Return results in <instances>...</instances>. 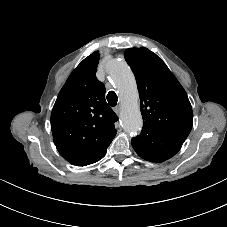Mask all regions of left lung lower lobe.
<instances>
[{
	"label": "left lung lower lobe",
	"instance_id": "obj_1",
	"mask_svg": "<svg viewBox=\"0 0 227 227\" xmlns=\"http://www.w3.org/2000/svg\"><path fill=\"white\" fill-rule=\"evenodd\" d=\"M131 142L134 150L141 158L157 163L174 156L184 143L146 127H143L140 135L134 137Z\"/></svg>",
	"mask_w": 227,
	"mask_h": 227
}]
</instances>
